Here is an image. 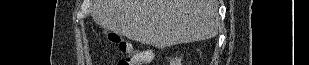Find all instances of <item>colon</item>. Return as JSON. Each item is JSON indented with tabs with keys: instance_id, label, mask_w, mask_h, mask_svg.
Wrapping results in <instances>:
<instances>
[{
	"instance_id": "1",
	"label": "colon",
	"mask_w": 309,
	"mask_h": 65,
	"mask_svg": "<svg viewBox=\"0 0 309 65\" xmlns=\"http://www.w3.org/2000/svg\"><path fill=\"white\" fill-rule=\"evenodd\" d=\"M117 45L122 54L119 60V65H141L151 55V52L149 51L136 50L132 44L125 41L118 40Z\"/></svg>"
}]
</instances>
